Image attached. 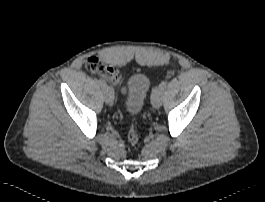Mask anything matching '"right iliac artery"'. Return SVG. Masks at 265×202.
Listing matches in <instances>:
<instances>
[{"label":"right iliac artery","mask_w":265,"mask_h":202,"mask_svg":"<svg viewBox=\"0 0 265 202\" xmlns=\"http://www.w3.org/2000/svg\"><path fill=\"white\" fill-rule=\"evenodd\" d=\"M98 84L102 87V88H105L107 86L106 82L102 79H99L98 80Z\"/></svg>","instance_id":"1"}]
</instances>
